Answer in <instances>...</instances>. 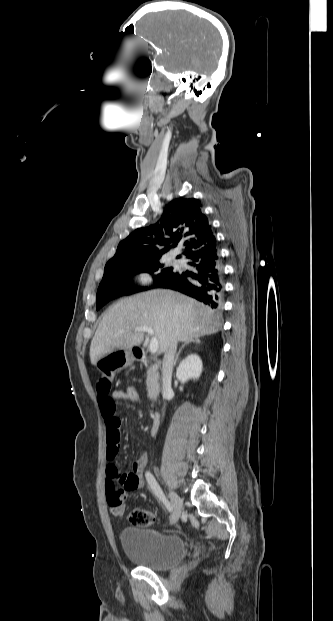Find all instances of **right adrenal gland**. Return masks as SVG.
<instances>
[{"label":"right adrenal gland","instance_id":"right-adrenal-gland-1","mask_svg":"<svg viewBox=\"0 0 333 621\" xmlns=\"http://www.w3.org/2000/svg\"><path fill=\"white\" fill-rule=\"evenodd\" d=\"M191 342H195L196 344H199V343H200V339H199V338H195V339H193V340H189V341L185 342V343L181 346V348L179 349L178 353L176 354L175 359H174V362H173V366H176V365H177V361H178V358H179L180 353L182 352V349H183V348H184L187 344H190Z\"/></svg>","mask_w":333,"mask_h":621}]
</instances>
